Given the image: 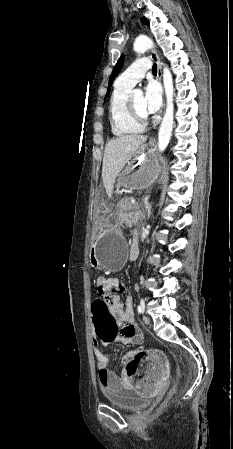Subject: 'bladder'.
Wrapping results in <instances>:
<instances>
[{"label":"bladder","mask_w":233,"mask_h":449,"mask_svg":"<svg viewBox=\"0 0 233 449\" xmlns=\"http://www.w3.org/2000/svg\"><path fill=\"white\" fill-rule=\"evenodd\" d=\"M103 394L111 405L127 411L142 409L151 403V399L141 398L136 394L135 390L121 386L105 388Z\"/></svg>","instance_id":"obj_1"}]
</instances>
